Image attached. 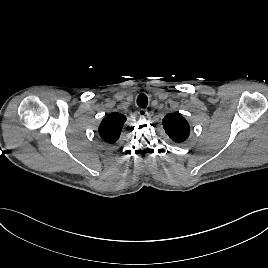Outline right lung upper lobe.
I'll use <instances>...</instances> for the list:
<instances>
[{"instance_id": "right-lung-upper-lobe-1", "label": "right lung upper lobe", "mask_w": 268, "mask_h": 268, "mask_svg": "<svg viewBox=\"0 0 268 268\" xmlns=\"http://www.w3.org/2000/svg\"><path fill=\"white\" fill-rule=\"evenodd\" d=\"M126 117L120 113H111L107 115L99 126L100 137L110 143H115L120 136Z\"/></svg>"}]
</instances>
